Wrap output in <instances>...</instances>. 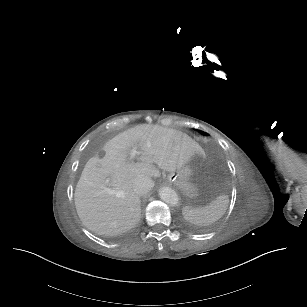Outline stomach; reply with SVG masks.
<instances>
[{
    "label": "stomach",
    "instance_id": "0dacf381",
    "mask_svg": "<svg viewBox=\"0 0 307 307\" xmlns=\"http://www.w3.org/2000/svg\"><path fill=\"white\" fill-rule=\"evenodd\" d=\"M202 162V154L196 153L181 168L176 169L168 174V181L172 182L183 193L189 194L195 190L193 183L197 170Z\"/></svg>",
    "mask_w": 307,
    "mask_h": 307
}]
</instances>
